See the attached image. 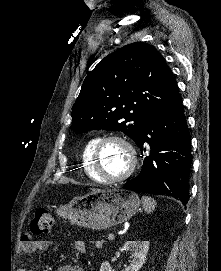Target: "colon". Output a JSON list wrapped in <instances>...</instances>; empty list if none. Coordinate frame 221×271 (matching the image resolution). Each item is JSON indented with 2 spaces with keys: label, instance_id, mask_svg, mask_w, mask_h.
I'll use <instances>...</instances> for the list:
<instances>
[{
  "label": "colon",
  "instance_id": "1",
  "mask_svg": "<svg viewBox=\"0 0 221 271\" xmlns=\"http://www.w3.org/2000/svg\"><path fill=\"white\" fill-rule=\"evenodd\" d=\"M54 229V217L53 214L44 208L39 209L36 212L35 219L31 222L29 233L30 235H41L51 232Z\"/></svg>",
  "mask_w": 221,
  "mask_h": 271
}]
</instances>
